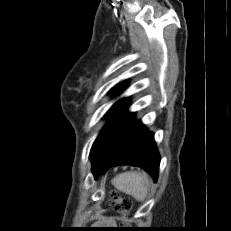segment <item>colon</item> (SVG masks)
Returning a JSON list of instances; mask_svg holds the SVG:
<instances>
[{"label":"colon","instance_id":"obj_1","mask_svg":"<svg viewBox=\"0 0 231 231\" xmlns=\"http://www.w3.org/2000/svg\"><path fill=\"white\" fill-rule=\"evenodd\" d=\"M111 202L115 210L119 213L122 218L127 217L131 208L132 202L130 199L122 197L117 191L113 190L110 193Z\"/></svg>","mask_w":231,"mask_h":231}]
</instances>
